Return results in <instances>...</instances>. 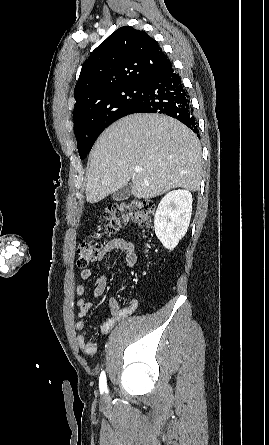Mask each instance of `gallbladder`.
I'll use <instances>...</instances> for the list:
<instances>
[{
    "mask_svg": "<svg viewBox=\"0 0 269 445\" xmlns=\"http://www.w3.org/2000/svg\"><path fill=\"white\" fill-rule=\"evenodd\" d=\"M131 194V184L128 183L127 185L114 192L112 198L115 201L126 200L131 196Z\"/></svg>",
    "mask_w": 269,
    "mask_h": 445,
    "instance_id": "bac80fb5",
    "label": "gallbladder"
}]
</instances>
